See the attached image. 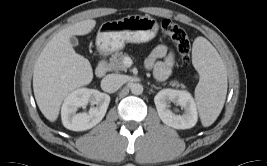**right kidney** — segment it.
<instances>
[{"label": "right kidney", "mask_w": 267, "mask_h": 166, "mask_svg": "<svg viewBox=\"0 0 267 166\" xmlns=\"http://www.w3.org/2000/svg\"><path fill=\"white\" fill-rule=\"evenodd\" d=\"M88 103L96 105L89 113H77L79 107ZM110 96L95 89L80 88L71 92L64 100L61 109L63 125L73 131H84L97 125L105 116Z\"/></svg>", "instance_id": "obj_1"}]
</instances>
